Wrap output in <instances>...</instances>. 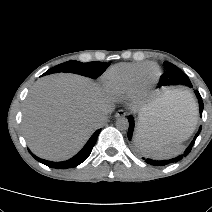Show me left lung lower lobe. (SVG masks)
<instances>
[{
	"label": "left lung lower lobe",
	"instance_id": "obj_1",
	"mask_svg": "<svg viewBox=\"0 0 212 212\" xmlns=\"http://www.w3.org/2000/svg\"><path fill=\"white\" fill-rule=\"evenodd\" d=\"M190 87H192V86H190ZM194 92H195V94H196V96L198 98L199 107H200V115L202 116V112H203V108H204L203 101H202V98H201L199 92L197 90H194ZM128 121H129L128 139L131 140L132 134H133V130H134V119H133V117L129 116L128 117ZM200 131H201V127L199 128V131L197 132V134L195 135L193 141L188 146V148L185 150L183 155H180V156H178L176 158H173V159H170V160H152V159H149V158L145 159L144 157H143V159L147 163H149L151 165H154V166H165V165H167L169 163L177 162V161L181 160L183 156L184 157L187 156L188 153L191 151V149H192V147H193V145L195 143L196 138L200 134Z\"/></svg>",
	"mask_w": 212,
	"mask_h": 212
}]
</instances>
